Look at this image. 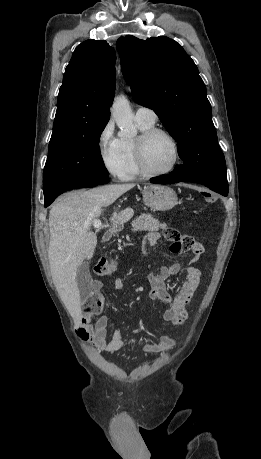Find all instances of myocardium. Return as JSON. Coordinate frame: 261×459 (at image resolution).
<instances>
[{
	"label": "myocardium",
	"instance_id": "myocardium-1",
	"mask_svg": "<svg viewBox=\"0 0 261 459\" xmlns=\"http://www.w3.org/2000/svg\"><path fill=\"white\" fill-rule=\"evenodd\" d=\"M158 134L166 136L171 141L174 151V157L171 165L163 171H153L149 169L146 163L145 156L147 143L152 137ZM135 157L138 169L140 173L143 175L150 177H159L170 174L177 167L180 159L179 142L170 131L159 127H151L149 129L142 131L140 135L135 139Z\"/></svg>",
	"mask_w": 261,
	"mask_h": 459
}]
</instances>
